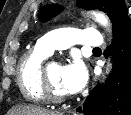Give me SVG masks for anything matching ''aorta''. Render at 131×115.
Masks as SVG:
<instances>
[{"mask_svg":"<svg viewBox=\"0 0 131 115\" xmlns=\"http://www.w3.org/2000/svg\"><path fill=\"white\" fill-rule=\"evenodd\" d=\"M93 15L95 17V20L97 22H99L101 25H103L104 27L109 26V20L104 14H102V13H93Z\"/></svg>","mask_w":131,"mask_h":115,"instance_id":"1","label":"aorta"}]
</instances>
